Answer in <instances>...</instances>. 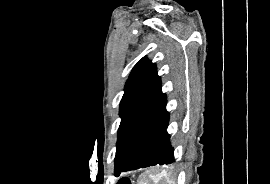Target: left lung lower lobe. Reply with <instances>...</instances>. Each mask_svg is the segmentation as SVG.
<instances>
[{
	"mask_svg": "<svg viewBox=\"0 0 270 184\" xmlns=\"http://www.w3.org/2000/svg\"><path fill=\"white\" fill-rule=\"evenodd\" d=\"M167 101L162 104L156 115L136 139L126 158L115 175L121 172L139 168L171 164L175 161L174 150L167 133L169 113L166 110Z\"/></svg>",
	"mask_w": 270,
	"mask_h": 184,
	"instance_id": "0a47b994",
	"label": "left lung lower lobe"
}]
</instances>
